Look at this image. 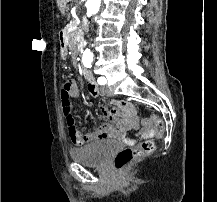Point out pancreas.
Here are the masks:
<instances>
[{"label":"pancreas","instance_id":"pancreas-1","mask_svg":"<svg viewBox=\"0 0 217 202\" xmlns=\"http://www.w3.org/2000/svg\"><path fill=\"white\" fill-rule=\"evenodd\" d=\"M69 28H74V25H71L70 23V25L65 27V30H69ZM68 42L70 50H75L77 42H83L82 32H80V30H73V32H70V34H68Z\"/></svg>","mask_w":217,"mask_h":202}]
</instances>
